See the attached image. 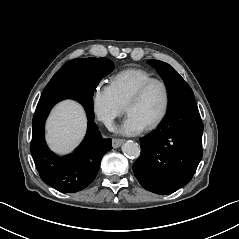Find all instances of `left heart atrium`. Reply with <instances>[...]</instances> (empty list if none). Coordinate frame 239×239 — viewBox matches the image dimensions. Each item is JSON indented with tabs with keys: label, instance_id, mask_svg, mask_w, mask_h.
<instances>
[{
	"label": "left heart atrium",
	"instance_id": "1",
	"mask_svg": "<svg viewBox=\"0 0 239 239\" xmlns=\"http://www.w3.org/2000/svg\"><path fill=\"white\" fill-rule=\"evenodd\" d=\"M145 129L144 123L134 114L128 113L121 131L125 134H138Z\"/></svg>",
	"mask_w": 239,
	"mask_h": 239
}]
</instances>
